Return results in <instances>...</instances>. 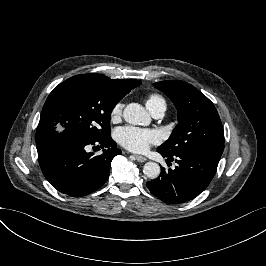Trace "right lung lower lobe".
I'll list each match as a JSON object with an SVG mask.
<instances>
[{"instance_id":"1","label":"right lung lower lobe","mask_w":266,"mask_h":266,"mask_svg":"<svg viewBox=\"0 0 266 266\" xmlns=\"http://www.w3.org/2000/svg\"><path fill=\"white\" fill-rule=\"evenodd\" d=\"M98 144L104 149L103 154L92 157L86 146ZM37 151L46 179L58 191L73 197L100 188L109 177L113 157L121 154L110 135L90 140L63 133L37 145Z\"/></svg>"}]
</instances>
